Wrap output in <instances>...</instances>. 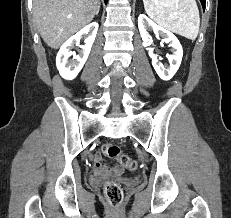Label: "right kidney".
Instances as JSON below:
<instances>
[{
  "label": "right kidney",
  "mask_w": 231,
  "mask_h": 218,
  "mask_svg": "<svg viewBox=\"0 0 231 218\" xmlns=\"http://www.w3.org/2000/svg\"><path fill=\"white\" fill-rule=\"evenodd\" d=\"M98 26L97 22L90 23L61 46L56 57V66L64 79H74L83 68L95 40ZM82 36H86L85 44L80 46L81 50L77 55L72 49L74 44H79ZM71 56L73 59H69Z\"/></svg>",
  "instance_id": "obj_1"
}]
</instances>
